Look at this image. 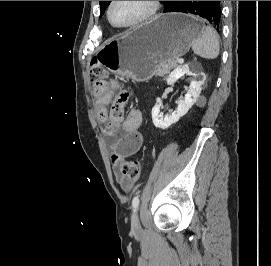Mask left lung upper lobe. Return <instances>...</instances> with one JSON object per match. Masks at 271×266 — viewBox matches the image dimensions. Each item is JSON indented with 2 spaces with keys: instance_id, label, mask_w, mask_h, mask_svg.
<instances>
[{
  "instance_id": "5c2ea615",
  "label": "left lung upper lobe",
  "mask_w": 271,
  "mask_h": 266,
  "mask_svg": "<svg viewBox=\"0 0 271 266\" xmlns=\"http://www.w3.org/2000/svg\"><path fill=\"white\" fill-rule=\"evenodd\" d=\"M110 2L111 1H99L100 7H101V14H100V16L103 15L106 7L110 4ZM161 2H163L166 5L169 1H161Z\"/></svg>"
}]
</instances>
